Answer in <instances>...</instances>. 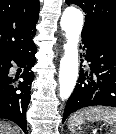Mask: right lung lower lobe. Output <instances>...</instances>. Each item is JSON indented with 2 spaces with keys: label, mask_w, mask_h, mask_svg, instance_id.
Here are the masks:
<instances>
[{
  "label": "right lung lower lobe",
  "mask_w": 116,
  "mask_h": 134,
  "mask_svg": "<svg viewBox=\"0 0 116 134\" xmlns=\"http://www.w3.org/2000/svg\"><path fill=\"white\" fill-rule=\"evenodd\" d=\"M36 45L31 41L15 52L4 58L2 63L6 68V74L0 78V118L13 121L25 132L27 128L26 110L30 102V88L34 79L31 67L35 63ZM11 61L24 68L20 76L23 81L15 84L8 76L12 67Z\"/></svg>",
  "instance_id": "obj_1"
}]
</instances>
